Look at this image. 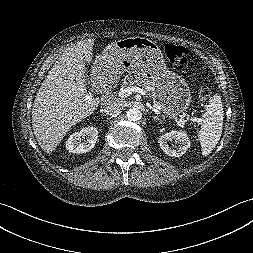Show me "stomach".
<instances>
[{"mask_svg": "<svg viewBox=\"0 0 253 253\" xmlns=\"http://www.w3.org/2000/svg\"><path fill=\"white\" fill-rule=\"evenodd\" d=\"M93 76L138 73L151 79L152 97L165 118H176L186 111L191 92L186 81L170 71L157 44L144 37H129L110 44L96 58Z\"/></svg>", "mask_w": 253, "mask_h": 253, "instance_id": "1", "label": "stomach"}]
</instances>
